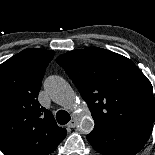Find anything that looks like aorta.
Segmentation results:
<instances>
[{
  "mask_svg": "<svg viewBox=\"0 0 155 155\" xmlns=\"http://www.w3.org/2000/svg\"><path fill=\"white\" fill-rule=\"evenodd\" d=\"M45 89L57 104L73 111L78 120V127L82 133L88 134L94 128V120L86 108L78 110L79 102L70 84L60 76H50L45 80Z\"/></svg>",
  "mask_w": 155,
  "mask_h": 155,
  "instance_id": "762f6f07",
  "label": "aorta"
}]
</instances>
